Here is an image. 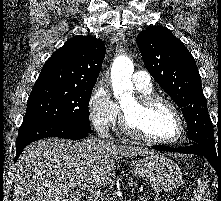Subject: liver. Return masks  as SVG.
Listing matches in <instances>:
<instances>
[{"mask_svg": "<svg viewBox=\"0 0 221 201\" xmlns=\"http://www.w3.org/2000/svg\"><path fill=\"white\" fill-rule=\"evenodd\" d=\"M152 152L96 138L34 142L16 162L13 201H79L83 191L113 181L114 159Z\"/></svg>", "mask_w": 221, "mask_h": 201, "instance_id": "6515ba94", "label": "liver"}]
</instances>
